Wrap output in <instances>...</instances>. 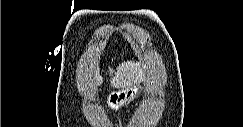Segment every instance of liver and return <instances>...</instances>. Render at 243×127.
<instances>
[{
    "label": "liver",
    "mask_w": 243,
    "mask_h": 127,
    "mask_svg": "<svg viewBox=\"0 0 243 127\" xmlns=\"http://www.w3.org/2000/svg\"><path fill=\"white\" fill-rule=\"evenodd\" d=\"M145 74L146 71L141 62H123L117 67L115 76L110 80V84L115 88L140 84L145 78ZM94 81H96V84H101L103 82V79L99 74V68L95 69Z\"/></svg>",
    "instance_id": "obj_1"
}]
</instances>
